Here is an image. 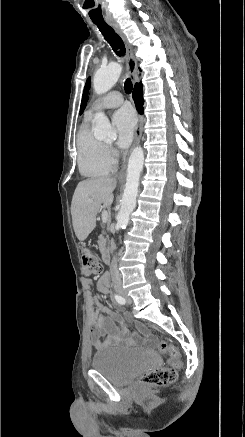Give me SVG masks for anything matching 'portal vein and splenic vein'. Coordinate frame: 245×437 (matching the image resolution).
<instances>
[{
  "label": "portal vein and splenic vein",
  "mask_w": 245,
  "mask_h": 437,
  "mask_svg": "<svg viewBox=\"0 0 245 437\" xmlns=\"http://www.w3.org/2000/svg\"><path fill=\"white\" fill-rule=\"evenodd\" d=\"M90 203L93 201L92 199H89L88 200ZM108 219H109V214H108V212L107 211H103L102 212V221L104 222V223H106L107 221H108Z\"/></svg>",
  "instance_id": "portal-vein-and-splenic-vein-1"
}]
</instances>
